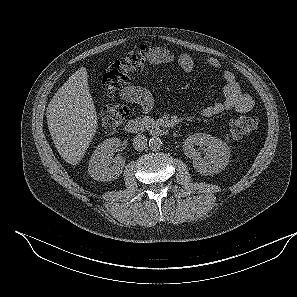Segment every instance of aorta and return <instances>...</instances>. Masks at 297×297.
Segmentation results:
<instances>
[{
	"label": "aorta",
	"mask_w": 297,
	"mask_h": 297,
	"mask_svg": "<svg viewBox=\"0 0 297 297\" xmlns=\"http://www.w3.org/2000/svg\"><path fill=\"white\" fill-rule=\"evenodd\" d=\"M162 140L159 138V137H152L150 140H149V147L151 150L153 151H158L162 148Z\"/></svg>",
	"instance_id": "aorta-1"
}]
</instances>
